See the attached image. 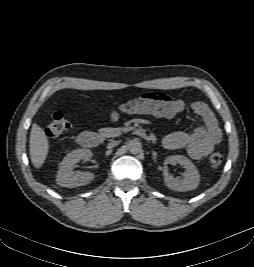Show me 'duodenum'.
I'll return each mask as SVG.
<instances>
[{
  "mask_svg": "<svg viewBox=\"0 0 254 267\" xmlns=\"http://www.w3.org/2000/svg\"><path fill=\"white\" fill-rule=\"evenodd\" d=\"M134 133L147 141H154L155 135L149 130L138 128ZM77 142L79 145L85 148L98 147L102 142V136L92 131H82L77 136Z\"/></svg>",
  "mask_w": 254,
  "mask_h": 267,
  "instance_id": "obj_1",
  "label": "duodenum"
}]
</instances>
